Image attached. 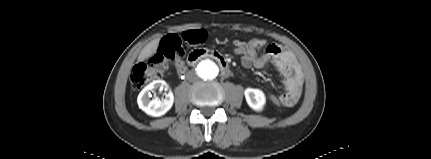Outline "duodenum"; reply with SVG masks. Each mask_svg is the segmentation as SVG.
I'll use <instances>...</instances> for the list:
<instances>
[{
    "label": "duodenum",
    "instance_id": "obj_1",
    "mask_svg": "<svg viewBox=\"0 0 431 159\" xmlns=\"http://www.w3.org/2000/svg\"><path fill=\"white\" fill-rule=\"evenodd\" d=\"M203 59H211V60H214L215 62H217L218 65L220 66L221 70L225 74H228L230 71L229 64L226 61V59L220 53L213 51V50L196 49L189 54L187 62L189 65L192 66V65H195L197 62H199ZM185 71H186V69H185ZM185 71H183V72L178 71V72L184 73Z\"/></svg>",
    "mask_w": 431,
    "mask_h": 159
}]
</instances>
